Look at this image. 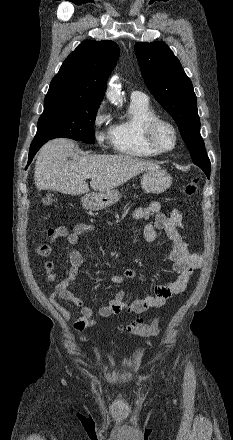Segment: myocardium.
Instances as JSON below:
<instances>
[{
	"label": "myocardium",
	"mask_w": 233,
	"mask_h": 440,
	"mask_svg": "<svg viewBox=\"0 0 233 440\" xmlns=\"http://www.w3.org/2000/svg\"><path fill=\"white\" fill-rule=\"evenodd\" d=\"M163 125L170 128V130L172 131L173 137H174L173 145L170 148H163L156 141L157 130L160 126H163ZM142 132H143V139H144L145 144L151 150L155 151L158 154L171 152L178 145V140H179L178 131H177L175 125L171 121H169L168 119H165V118H162L159 116H155L145 122Z\"/></svg>",
	"instance_id": "obj_1"
}]
</instances>
